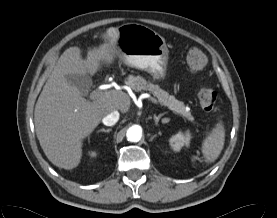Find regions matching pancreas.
<instances>
[{
  "label": "pancreas",
  "mask_w": 277,
  "mask_h": 218,
  "mask_svg": "<svg viewBox=\"0 0 277 218\" xmlns=\"http://www.w3.org/2000/svg\"><path fill=\"white\" fill-rule=\"evenodd\" d=\"M125 83L135 92L149 91L158 99L161 105L168 107V109L178 113L186 120L194 122V117L191 115L189 108L173 95H169L166 91L162 90L158 85H154L140 76L132 75L127 78Z\"/></svg>",
  "instance_id": "1"
}]
</instances>
